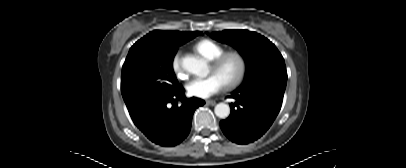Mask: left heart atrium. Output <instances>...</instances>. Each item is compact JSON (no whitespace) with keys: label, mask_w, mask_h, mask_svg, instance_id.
I'll return each instance as SVG.
<instances>
[{"label":"left heart atrium","mask_w":406,"mask_h":168,"mask_svg":"<svg viewBox=\"0 0 406 168\" xmlns=\"http://www.w3.org/2000/svg\"><path fill=\"white\" fill-rule=\"evenodd\" d=\"M223 81L215 74L206 78H194L186 85L189 95L197 98H209L220 92L224 87Z\"/></svg>","instance_id":"left-heart-atrium-1"}]
</instances>
